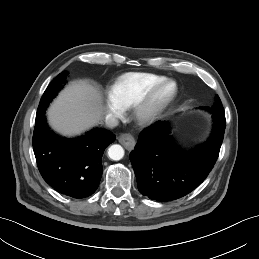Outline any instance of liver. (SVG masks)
Masks as SVG:
<instances>
[{
	"instance_id": "1",
	"label": "liver",
	"mask_w": 259,
	"mask_h": 259,
	"mask_svg": "<svg viewBox=\"0 0 259 259\" xmlns=\"http://www.w3.org/2000/svg\"><path fill=\"white\" fill-rule=\"evenodd\" d=\"M102 96L86 80L69 84L48 110L52 128L65 136L78 135L103 119Z\"/></svg>"
}]
</instances>
